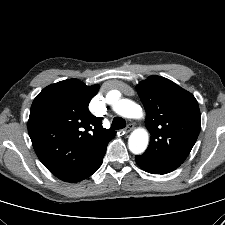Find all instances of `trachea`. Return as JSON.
Masks as SVG:
<instances>
[{"label": "trachea", "instance_id": "obj_1", "mask_svg": "<svg viewBox=\"0 0 225 225\" xmlns=\"http://www.w3.org/2000/svg\"><path fill=\"white\" fill-rule=\"evenodd\" d=\"M112 129L119 130L126 127V121L121 117H115L111 125Z\"/></svg>", "mask_w": 225, "mask_h": 225}]
</instances>
